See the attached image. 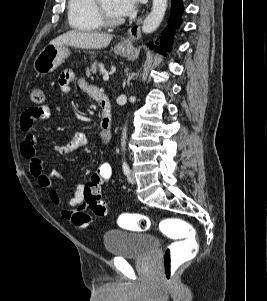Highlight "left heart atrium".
Masks as SVG:
<instances>
[{"instance_id":"left-heart-atrium-1","label":"left heart atrium","mask_w":267,"mask_h":301,"mask_svg":"<svg viewBox=\"0 0 267 301\" xmlns=\"http://www.w3.org/2000/svg\"><path fill=\"white\" fill-rule=\"evenodd\" d=\"M138 0H112L114 13L118 17H128L134 14Z\"/></svg>"}]
</instances>
